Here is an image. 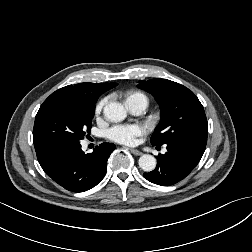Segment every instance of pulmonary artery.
I'll list each match as a JSON object with an SVG mask.
<instances>
[{"label":"pulmonary artery","instance_id":"e3ab8cb5","mask_svg":"<svg viewBox=\"0 0 252 252\" xmlns=\"http://www.w3.org/2000/svg\"><path fill=\"white\" fill-rule=\"evenodd\" d=\"M128 109L136 115L142 114L147 108V102L141 98H133L126 101Z\"/></svg>","mask_w":252,"mask_h":252}]
</instances>
